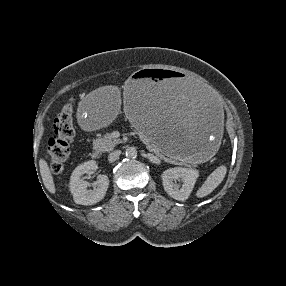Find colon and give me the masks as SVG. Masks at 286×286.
Here are the masks:
<instances>
[{"instance_id": "colon-1", "label": "colon", "mask_w": 286, "mask_h": 286, "mask_svg": "<svg viewBox=\"0 0 286 286\" xmlns=\"http://www.w3.org/2000/svg\"><path fill=\"white\" fill-rule=\"evenodd\" d=\"M74 102V99H69L61 107L54 122V136L49 140L47 149V161L53 173H60L70 157L71 144L76 135Z\"/></svg>"}]
</instances>
